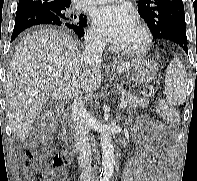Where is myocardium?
Returning a JSON list of instances; mask_svg holds the SVG:
<instances>
[{
	"instance_id": "myocardium-1",
	"label": "myocardium",
	"mask_w": 197,
	"mask_h": 181,
	"mask_svg": "<svg viewBox=\"0 0 197 181\" xmlns=\"http://www.w3.org/2000/svg\"><path fill=\"white\" fill-rule=\"evenodd\" d=\"M134 23L141 32V42L134 47H124L120 45L115 46V49L117 51L131 56L144 54L149 49L152 43V33L147 24L141 19H136Z\"/></svg>"
}]
</instances>
